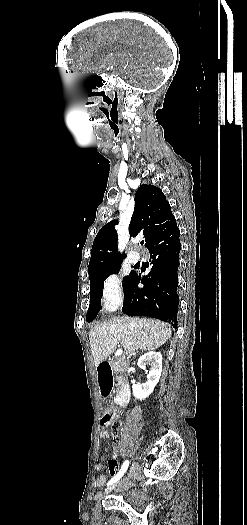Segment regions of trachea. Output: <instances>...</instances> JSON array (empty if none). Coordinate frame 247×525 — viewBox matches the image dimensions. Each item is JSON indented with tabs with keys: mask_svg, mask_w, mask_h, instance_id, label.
Here are the masks:
<instances>
[{
	"mask_svg": "<svg viewBox=\"0 0 247 525\" xmlns=\"http://www.w3.org/2000/svg\"><path fill=\"white\" fill-rule=\"evenodd\" d=\"M143 244H144V240H142V242H141V245H143Z\"/></svg>",
	"mask_w": 247,
	"mask_h": 525,
	"instance_id": "obj_1",
	"label": "trachea"
}]
</instances>
